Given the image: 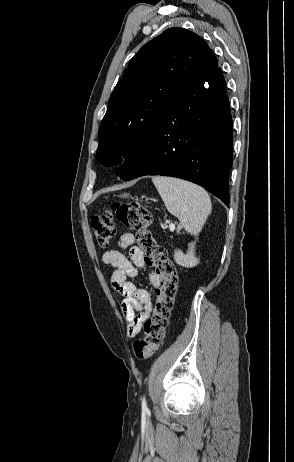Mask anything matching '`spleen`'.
<instances>
[{"mask_svg": "<svg viewBox=\"0 0 294 462\" xmlns=\"http://www.w3.org/2000/svg\"><path fill=\"white\" fill-rule=\"evenodd\" d=\"M152 181L167 210L180 220L188 233L197 235L211 212L208 193L198 185L172 177L156 176ZM193 251V244L187 254L175 251V261L185 267L194 266L197 259Z\"/></svg>", "mask_w": 294, "mask_h": 462, "instance_id": "3e777b00", "label": "spleen"}]
</instances>
